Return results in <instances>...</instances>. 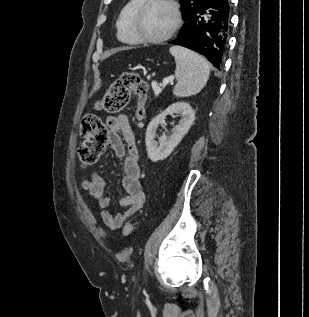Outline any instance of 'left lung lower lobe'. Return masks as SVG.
<instances>
[{"label":"left lung lower lobe","mask_w":309,"mask_h":317,"mask_svg":"<svg viewBox=\"0 0 309 317\" xmlns=\"http://www.w3.org/2000/svg\"><path fill=\"white\" fill-rule=\"evenodd\" d=\"M230 10V0H204L184 16L179 36L169 43L204 55L219 69L228 43Z\"/></svg>","instance_id":"0a47b994"}]
</instances>
